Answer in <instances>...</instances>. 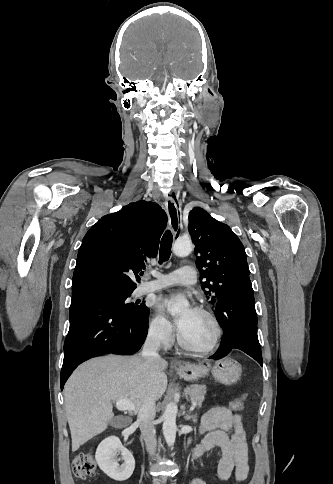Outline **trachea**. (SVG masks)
I'll list each match as a JSON object with an SVG mask.
<instances>
[{"instance_id":"1","label":"trachea","mask_w":333,"mask_h":484,"mask_svg":"<svg viewBox=\"0 0 333 484\" xmlns=\"http://www.w3.org/2000/svg\"><path fill=\"white\" fill-rule=\"evenodd\" d=\"M173 236L170 230H167L160 243V252H159V264L167 261L171 255V247H172Z\"/></svg>"}]
</instances>
